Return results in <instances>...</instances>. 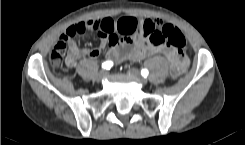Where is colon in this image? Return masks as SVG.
<instances>
[{"mask_svg":"<svg viewBox=\"0 0 245 145\" xmlns=\"http://www.w3.org/2000/svg\"><path fill=\"white\" fill-rule=\"evenodd\" d=\"M87 30L88 25L81 22L67 28L50 52V63L53 67L58 68L62 65L67 41L75 35L86 33ZM128 32L129 34L135 33L131 28H129ZM140 34L144 39L155 46L167 45L175 50H181L184 49L187 44L184 34L172 24H164L159 28L146 25ZM180 71V67L173 62L170 69L171 76H176Z\"/></svg>","mask_w":245,"mask_h":145,"instance_id":"colon-1","label":"colon"}]
</instances>
